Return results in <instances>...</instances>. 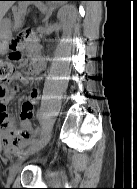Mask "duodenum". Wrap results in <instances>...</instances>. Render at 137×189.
<instances>
[{"label":"duodenum","instance_id":"obj_1","mask_svg":"<svg viewBox=\"0 0 137 189\" xmlns=\"http://www.w3.org/2000/svg\"><path fill=\"white\" fill-rule=\"evenodd\" d=\"M30 54L35 58L36 61H39L41 59L40 52L37 47H33L30 49Z\"/></svg>","mask_w":137,"mask_h":189}]
</instances>
